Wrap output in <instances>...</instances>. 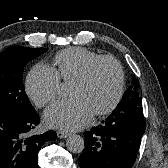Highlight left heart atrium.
Returning <instances> with one entry per match:
<instances>
[{
  "mask_svg": "<svg viewBox=\"0 0 168 168\" xmlns=\"http://www.w3.org/2000/svg\"><path fill=\"white\" fill-rule=\"evenodd\" d=\"M93 111L81 97L61 100L50 106L45 114V123L53 128L78 130L92 119Z\"/></svg>",
  "mask_w": 168,
  "mask_h": 168,
  "instance_id": "obj_1",
  "label": "left heart atrium"
}]
</instances>
